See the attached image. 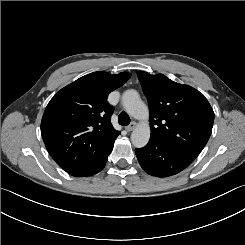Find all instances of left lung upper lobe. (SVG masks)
<instances>
[{
  "instance_id": "5c2ea615",
  "label": "left lung upper lobe",
  "mask_w": 245,
  "mask_h": 245,
  "mask_svg": "<svg viewBox=\"0 0 245 245\" xmlns=\"http://www.w3.org/2000/svg\"><path fill=\"white\" fill-rule=\"evenodd\" d=\"M150 108L151 140L196 158L212 132L214 112L196 89L163 74L137 72Z\"/></svg>"
}]
</instances>
